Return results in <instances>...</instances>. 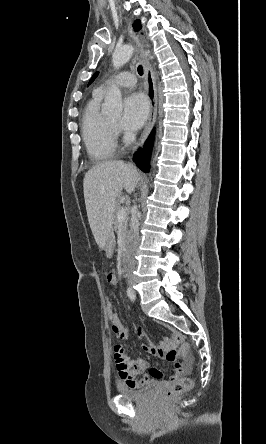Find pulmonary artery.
I'll list each match as a JSON object with an SVG mask.
<instances>
[{"label": "pulmonary artery", "instance_id": "e3ab8cb5", "mask_svg": "<svg viewBox=\"0 0 266 444\" xmlns=\"http://www.w3.org/2000/svg\"><path fill=\"white\" fill-rule=\"evenodd\" d=\"M136 83V78L134 74L130 72H121L116 75L113 79L104 81L100 86H98L95 92L104 94L108 87L112 84L119 87H133Z\"/></svg>", "mask_w": 266, "mask_h": 444}]
</instances>
